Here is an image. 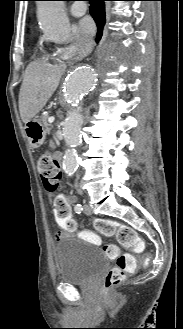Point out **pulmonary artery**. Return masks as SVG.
I'll list each match as a JSON object with an SVG mask.
<instances>
[{
  "mask_svg": "<svg viewBox=\"0 0 183 329\" xmlns=\"http://www.w3.org/2000/svg\"><path fill=\"white\" fill-rule=\"evenodd\" d=\"M70 11H71V14L73 16H76V17L81 16V15H83V14L86 13V11H87V5L84 4V3H82V2H75L71 6Z\"/></svg>",
  "mask_w": 183,
  "mask_h": 329,
  "instance_id": "1",
  "label": "pulmonary artery"
}]
</instances>
